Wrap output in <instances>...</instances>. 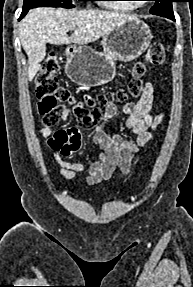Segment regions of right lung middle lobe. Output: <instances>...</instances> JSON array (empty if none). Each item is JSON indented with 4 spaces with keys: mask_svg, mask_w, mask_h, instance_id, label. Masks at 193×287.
<instances>
[{
    "mask_svg": "<svg viewBox=\"0 0 193 287\" xmlns=\"http://www.w3.org/2000/svg\"><path fill=\"white\" fill-rule=\"evenodd\" d=\"M78 1H92V0H78ZM36 7H62L74 8L75 5L71 0H24L23 9H32Z\"/></svg>",
    "mask_w": 193,
    "mask_h": 287,
    "instance_id": "1",
    "label": "right lung middle lobe"
}]
</instances>
